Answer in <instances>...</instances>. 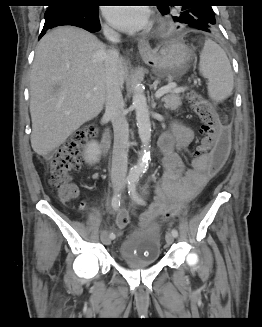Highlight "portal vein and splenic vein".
<instances>
[{
	"mask_svg": "<svg viewBox=\"0 0 262 327\" xmlns=\"http://www.w3.org/2000/svg\"><path fill=\"white\" fill-rule=\"evenodd\" d=\"M175 91V92H184L186 90L185 87H177V85L175 83H170L168 86L162 87L160 89H158L156 91V98H160L161 96H163L165 93L169 92V91Z\"/></svg>",
	"mask_w": 262,
	"mask_h": 327,
	"instance_id": "obj_1",
	"label": "portal vein and splenic vein"
}]
</instances>
